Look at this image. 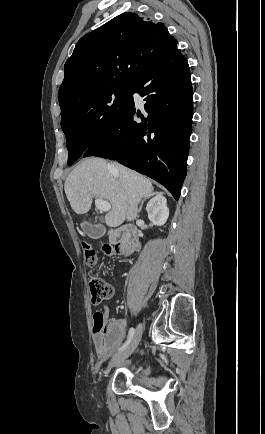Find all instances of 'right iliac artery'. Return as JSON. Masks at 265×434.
<instances>
[{
	"label": "right iliac artery",
	"instance_id": "82829eb1",
	"mask_svg": "<svg viewBox=\"0 0 265 434\" xmlns=\"http://www.w3.org/2000/svg\"><path fill=\"white\" fill-rule=\"evenodd\" d=\"M134 333H135V329L132 327V328H130V330H129V335H128V340L126 341V343L119 349L120 351H122V350H124L128 345H129V343L131 342V340H132V338H133V336H134Z\"/></svg>",
	"mask_w": 265,
	"mask_h": 434
}]
</instances>
